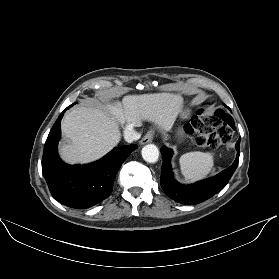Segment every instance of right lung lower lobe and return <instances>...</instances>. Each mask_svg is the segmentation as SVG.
Instances as JSON below:
<instances>
[{"mask_svg": "<svg viewBox=\"0 0 279 279\" xmlns=\"http://www.w3.org/2000/svg\"><path fill=\"white\" fill-rule=\"evenodd\" d=\"M62 117L63 114L58 117L46 140L42 173L56 200L71 208L86 209L110 195L120 166L137 145L114 148L102 159L90 164H65L57 156Z\"/></svg>", "mask_w": 279, "mask_h": 279, "instance_id": "98d812e1", "label": "right lung lower lobe"}]
</instances>
